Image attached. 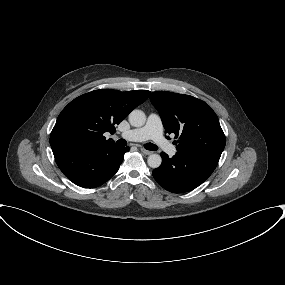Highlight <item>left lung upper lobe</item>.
I'll return each mask as SVG.
<instances>
[{"instance_id": "5c2ea615", "label": "left lung upper lobe", "mask_w": 285, "mask_h": 285, "mask_svg": "<svg viewBox=\"0 0 285 285\" xmlns=\"http://www.w3.org/2000/svg\"><path fill=\"white\" fill-rule=\"evenodd\" d=\"M158 110L165 133L179 140L178 154L198 158L217 166L226 138L215 112L204 101L172 92H153L149 96Z\"/></svg>"}]
</instances>
